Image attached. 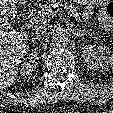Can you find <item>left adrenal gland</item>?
<instances>
[{"instance_id":"a2214340","label":"left adrenal gland","mask_w":113,"mask_h":113,"mask_svg":"<svg viewBox=\"0 0 113 113\" xmlns=\"http://www.w3.org/2000/svg\"><path fill=\"white\" fill-rule=\"evenodd\" d=\"M84 33H85L84 30H79V31H77L76 36H77V37H79V36H83Z\"/></svg>"}]
</instances>
